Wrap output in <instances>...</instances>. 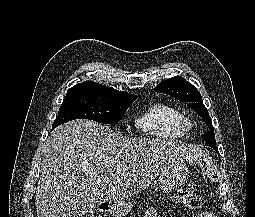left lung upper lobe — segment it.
Instances as JSON below:
<instances>
[{
	"mask_svg": "<svg viewBox=\"0 0 255 217\" xmlns=\"http://www.w3.org/2000/svg\"><path fill=\"white\" fill-rule=\"evenodd\" d=\"M154 90L159 93L170 95L180 101L188 102L189 107L200 115L210 129L208 132L204 133L201 138L214 150H218L211 118L206 107L203 105L199 91L192 84L188 83L183 77L176 76L162 81Z\"/></svg>",
	"mask_w": 255,
	"mask_h": 217,
	"instance_id": "left-lung-upper-lobe-1",
	"label": "left lung upper lobe"
}]
</instances>
